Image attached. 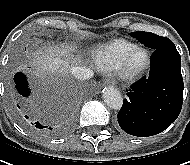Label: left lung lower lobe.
I'll list each match as a JSON object with an SVG mask.
<instances>
[{"label":"left lung lower lobe","instance_id":"1","mask_svg":"<svg viewBox=\"0 0 190 165\" xmlns=\"http://www.w3.org/2000/svg\"><path fill=\"white\" fill-rule=\"evenodd\" d=\"M183 89L180 54L171 41L154 50L149 76L131 86L117 115L120 127L138 137L164 131L181 111Z\"/></svg>","mask_w":190,"mask_h":165}]
</instances>
